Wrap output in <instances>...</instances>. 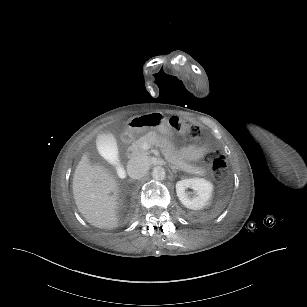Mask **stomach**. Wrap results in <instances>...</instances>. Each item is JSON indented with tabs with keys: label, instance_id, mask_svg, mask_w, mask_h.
Segmentation results:
<instances>
[{
	"label": "stomach",
	"instance_id": "0dacf381",
	"mask_svg": "<svg viewBox=\"0 0 307 307\" xmlns=\"http://www.w3.org/2000/svg\"><path fill=\"white\" fill-rule=\"evenodd\" d=\"M130 128L135 132L155 130L167 137H173L174 131L168 121L161 113H150L137 116L130 120Z\"/></svg>",
	"mask_w": 307,
	"mask_h": 307
}]
</instances>
